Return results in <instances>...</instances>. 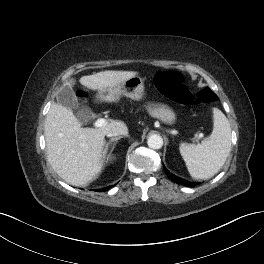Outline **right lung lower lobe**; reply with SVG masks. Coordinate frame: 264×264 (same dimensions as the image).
<instances>
[{"label": "right lung lower lobe", "mask_w": 264, "mask_h": 264, "mask_svg": "<svg viewBox=\"0 0 264 264\" xmlns=\"http://www.w3.org/2000/svg\"><path fill=\"white\" fill-rule=\"evenodd\" d=\"M109 188H110V187H107V188H104V189H102V190H97V191H99V192H101V191H107Z\"/></svg>", "instance_id": "98d812e1"}]
</instances>
